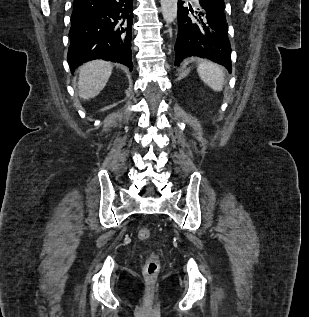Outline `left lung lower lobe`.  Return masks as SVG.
<instances>
[{"mask_svg":"<svg viewBox=\"0 0 309 317\" xmlns=\"http://www.w3.org/2000/svg\"><path fill=\"white\" fill-rule=\"evenodd\" d=\"M178 2V35L175 44V66L190 56L210 59L227 68L231 66V45L225 4L215 0H197L193 10Z\"/></svg>","mask_w":309,"mask_h":317,"instance_id":"left-lung-lower-lobe-1","label":"left lung lower lobe"}]
</instances>
